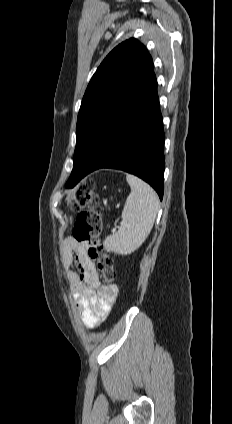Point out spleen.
Here are the masks:
<instances>
[{
  "instance_id": "1",
  "label": "spleen",
  "mask_w": 232,
  "mask_h": 424,
  "mask_svg": "<svg viewBox=\"0 0 232 424\" xmlns=\"http://www.w3.org/2000/svg\"><path fill=\"white\" fill-rule=\"evenodd\" d=\"M126 179L131 193L122 211L121 226L103 242L108 251L119 255L131 254L144 243L159 207L158 196L150 185L131 174H127Z\"/></svg>"
}]
</instances>
